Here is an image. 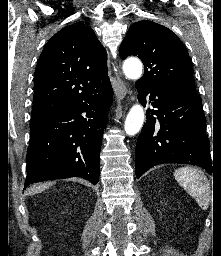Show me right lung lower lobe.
<instances>
[{"mask_svg":"<svg viewBox=\"0 0 221 256\" xmlns=\"http://www.w3.org/2000/svg\"><path fill=\"white\" fill-rule=\"evenodd\" d=\"M113 89L32 119L24 186L82 177L99 181V155Z\"/></svg>","mask_w":221,"mask_h":256,"instance_id":"obj_1","label":"right lung lower lobe"}]
</instances>
